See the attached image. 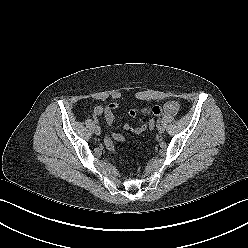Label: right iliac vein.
<instances>
[{"label": "right iliac vein", "instance_id": "right-iliac-vein-1", "mask_svg": "<svg viewBox=\"0 0 248 248\" xmlns=\"http://www.w3.org/2000/svg\"><path fill=\"white\" fill-rule=\"evenodd\" d=\"M94 133H95L96 135H99V134L101 133V128H100V126L96 125V126L94 127Z\"/></svg>", "mask_w": 248, "mask_h": 248}]
</instances>
